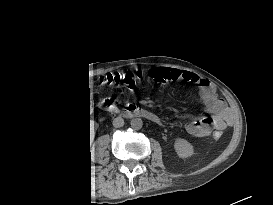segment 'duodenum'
<instances>
[{
    "label": "duodenum",
    "mask_w": 273,
    "mask_h": 205,
    "mask_svg": "<svg viewBox=\"0 0 273 205\" xmlns=\"http://www.w3.org/2000/svg\"><path fill=\"white\" fill-rule=\"evenodd\" d=\"M108 109L111 112L120 113L125 117H144L149 120H157L158 117L147 109L140 108L133 105L120 106L112 102L108 103Z\"/></svg>",
    "instance_id": "duodenum-1"
}]
</instances>
